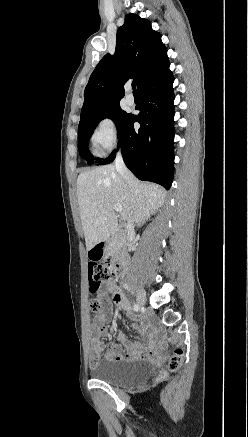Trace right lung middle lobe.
<instances>
[{"instance_id": "1", "label": "right lung middle lobe", "mask_w": 248, "mask_h": 437, "mask_svg": "<svg viewBox=\"0 0 248 437\" xmlns=\"http://www.w3.org/2000/svg\"><path fill=\"white\" fill-rule=\"evenodd\" d=\"M106 117L112 119L116 124L118 137H119L126 123L131 117V114H128L125 111H123L120 108V105H118L99 114L90 116L79 123L78 148L82 157L85 158L89 162V164L93 163V159H94V157L87 151L89 139L93 133L94 128L99 123V121ZM97 161H100V159H97Z\"/></svg>"}]
</instances>
